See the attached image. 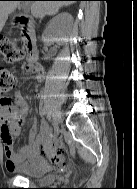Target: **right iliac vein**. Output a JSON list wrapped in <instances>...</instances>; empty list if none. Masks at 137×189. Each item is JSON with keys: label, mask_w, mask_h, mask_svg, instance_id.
Returning a JSON list of instances; mask_svg holds the SVG:
<instances>
[{"label": "right iliac vein", "mask_w": 137, "mask_h": 189, "mask_svg": "<svg viewBox=\"0 0 137 189\" xmlns=\"http://www.w3.org/2000/svg\"><path fill=\"white\" fill-rule=\"evenodd\" d=\"M61 122V114L60 112H56L53 116L52 124L54 126V129L57 130L59 123Z\"/></svg>", "instance_id": "63e3f726"}]
</instances>
